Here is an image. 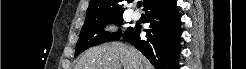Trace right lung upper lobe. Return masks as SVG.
<instances>
[{"mask_svg":"<svg viewBox=\"0 0 246 69\" xmlns=\"http://www.w3.org/2000/svg\"><path fill=\"white\" fill-rule=\"evenodd\" d=\"M160 0H144V10ZM123 0H90L86 19L99 20L113 15H123ZM129 2V0H127Z\"/></svg>","mask_w":246,"mask_h":69,"instance_id":"1","label":"right lung upper lobe"}]
</instances>
